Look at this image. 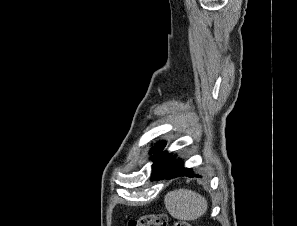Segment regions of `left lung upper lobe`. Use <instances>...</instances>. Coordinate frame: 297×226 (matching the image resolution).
Here are the masks:
<instances>
[{"mask_svg":"<svg viewBox=\"0 0 297 226\" xmlns=\"http://www.w3.org/2000/svg\"><path fill=\"white\" fill-rule=\"evenodd\" d=\"M165 142H159L157 143L155 146H156V149H151L150 153H154V156L151 157V159L154 160V163L152 165V169L154 168V166L157 164V162L161 159V157L163 156L164 152H161L163 150V147L165 146ZM157 150V151H156Z\"/></svg>","mask_w":297,"mask_h":226,"instance_id":"5c2ea615","label":"left lung upper lobe"}]
</instances>
